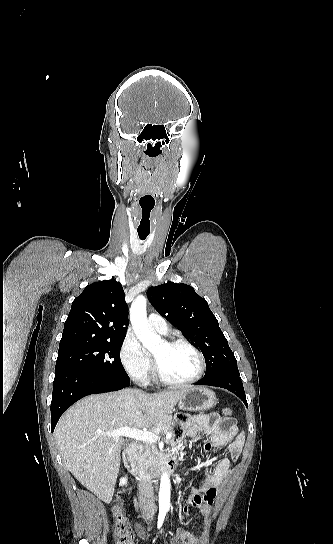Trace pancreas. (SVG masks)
<instances>
[{
  "instance_id": "cf45deb5",
  "label": "pancreas",
  "mask_w": 333,
  "mask_h": 544,
  "mask_svg": "<svg viewBox=\"0 0 333 544\" xmlns=\"http://www.w3.org/2000/svg\"><path fill=\"white\" fill-rule=\"evenodd\" d=\"M172 423V417L167 416L158 421L152 428V431L156 432L158 430L159 433H167L172 429ZM136 449L138 450L136 455L140 457L146 464H151L152 462H154L156 456L158 455V450L154 443L142 442L136 446Z\"/></svg>"
}]
</instances>
